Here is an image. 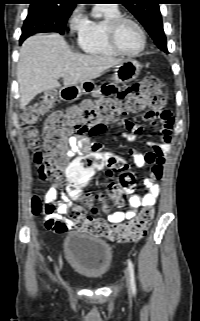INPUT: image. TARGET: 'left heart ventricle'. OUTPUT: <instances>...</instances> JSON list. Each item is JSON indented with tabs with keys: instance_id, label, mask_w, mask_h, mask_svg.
<instances>
[{
	"instance_id": "obj_1",
	"label": "left heart ventricle",
	"mask_w": 200,
	"mask_h": 321,
	"mask_svg": "<svg viewBox=\"0 0 200 321\" xmlns=\"http://www.w3.org/2000/svg\"><path fill=\"white\" fill-rule=\"evenodd\" d=\"M119 46L127 52H135L142 45V38L138 29L130 22L120 25L117 32Z\"/></svg>"
}]
</instances>
